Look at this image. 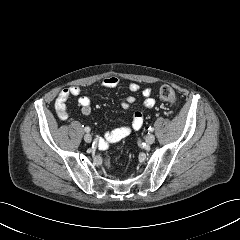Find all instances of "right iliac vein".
<instances>
[{"mask_svg":"<svg viewBox=\"0 0 240 240\" xmlns=\"http://www.w3.org/2000/svg\"><path fill=\"white\" fill-rule=\"evenodd\" d=\"M84 141L90 143L92 141V136L90 134H85Z\"/></svg>","mask_w":240,"mask_h":240,"instance_id":"63e3f726","label":"right iliac vein"}]
</instances>
